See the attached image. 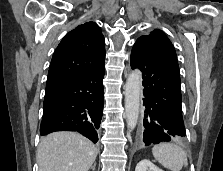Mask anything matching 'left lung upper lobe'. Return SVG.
I'll return each instance as SVG.
<instances>
[{"label":"left lung upper lobe","mask_w":223,"mask_h":171,"mask_svg":"<svg viewBox=\"0 0 223 171\" xmlns=\"http://www.w3.org/2000/svg\"><path fill=\"white\" fill-rule=\"evenodd\" d=\"M136 42L144 44L160 53L172 65L179 69L175 49L168 37L159 29L152 31L149 35H143Z\"/></svg>","instance_id":"5c2ea615"}]
</instances>
